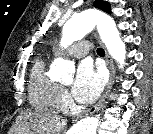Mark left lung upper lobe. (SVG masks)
<instances>
[{"mask_svg": "<svg viewBox=\"0 0 153 134\" xmlns=\"http://www.w3.org/2000/svg\"><path fill=\"white\" fill-rule=\"evenodd\" d=\"M94 6L103 10V11H106L108 13H111V9H110V4L106 1H102V0H96L94 2Z\"/></svg>", "mask_w": 153, "mask_h": 134, "instance_id": "obj_1", "label": "left lung upper lobe"}]
</instances>
